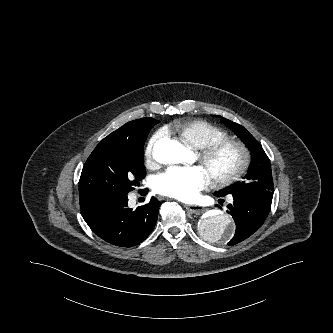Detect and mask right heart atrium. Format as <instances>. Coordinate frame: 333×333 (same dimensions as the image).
I'll use <instances>...</instances> for the list:
<instances>
[{"label": "right heart atrium", "instance_id": "d8ad5b80", "mask_svg": "<svg viewBox=\"0 0 333 333\" xmlns=\"http://www.w3.org/2000/svg\"><path fill=\"white\" fill-rule=\"evenodd\" d=\"M160 138V134H154L147 142L145 147V159L147 164H152L154 162L153 158V149L155 146L156 141Z\"/></svg>", "mask_w": 333, "mask_h": 333}]
</instances>
